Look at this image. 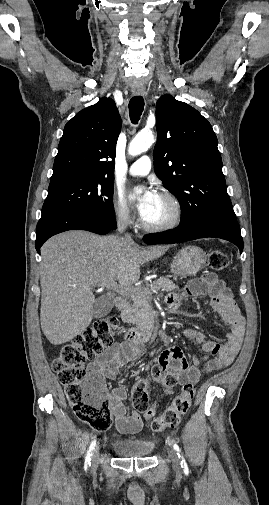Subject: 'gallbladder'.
<instances>
[{
    "mask_svg": "<svg viewBox=\"0 0 269 505\" xmlns=\"http://www.w3.org/2000/svg\"><path fill=\"white\" fill-rule=\"evenodd\" d=\"M113 299L109 296H102L96 299L93 304L94 318H102L106 316L113 308Z\"/></svg>",
    "mask_w": 269,
    "mask_h": 505,
    "instance_id": "obj_1",
    "label": "gallbladder"
}]
</instances>
